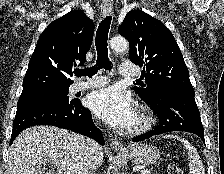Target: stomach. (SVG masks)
Here are the masks:
<instances>
[{"mask_svg": "<svg viewBox=\"0 0 224 174\" xmlns=\"http://www.w3.org/2000/svg\"><path fill=\"white\" fill-rule=\"evenodd\" d=\"M127 155L136 164L151 165L159 159L160 152L152 145L138 144L131 147Z\"/></svg>", "mask_w": 224, "mask_h": 174, "instance_id": "stomach-1", "label": "stomach"}]
</instances>
